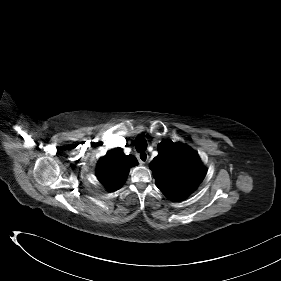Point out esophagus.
I'll use <instances>...</instances> for the list:
<instances>
[{"instance_id":"obj_1","label":"esophagus","mask_w":281,"mask_h":281,"mask_svg":"<svg viewBox=\"0 0 281 281\" xmlns=\"http://www.w3.org/2000/svg\"><path fill=\"white\" fill-rule=\"evenodd\" d=\"M137 157H138L139 162L142 164H145L149 159V155L147 152H141L137 155Z\"/></svg>"}]
</instances>
